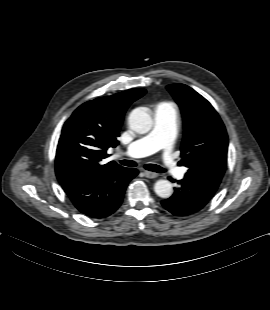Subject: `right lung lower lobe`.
I'll return each mask as SVG.
<instances>
[{"mask_svg": "<svg viewBox=\"0 0 270 310\" xmlns=\"http://www.w3.org/2000/svg\"><path fill=\"white\" fill-rule=\"evenodd\" d=\"M138 171L122 166L60 182L73 205L91 218H105L122 203L127 184Z\"/></svg>", "mask_w": 270, "mask_h": 310, "instance_id": "right-lung-lower-lobe-1", "label": "right lung lower lobe"}]
</instances>
